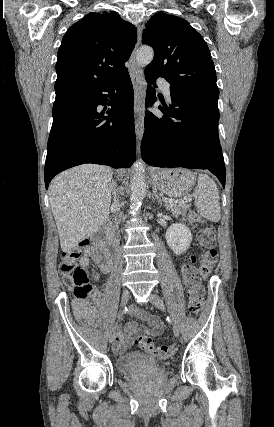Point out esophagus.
Wrapping results in <instances>:
<instances>
[{
	"label": "esophagus",
	"mask_w": 274,
	"mask_h": 427,
	"mask_svg": "<svg viewBox=\"0 0 274 427\" xmlns=\"http://www.w3.org/2000/svg\"><path fill=\"white\" fill-rule=\"evenodd\" d=\"M142 29L138 27L137 44L130 57L129 63V74L134 89V119H135V133L137 138V148L140 150V144L143 137L144 131V74L142 69L136 62L137 49L141 42Z\"/></svg>",
	"instance_id": "esophagus-1"
}]
</instances>
